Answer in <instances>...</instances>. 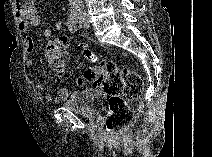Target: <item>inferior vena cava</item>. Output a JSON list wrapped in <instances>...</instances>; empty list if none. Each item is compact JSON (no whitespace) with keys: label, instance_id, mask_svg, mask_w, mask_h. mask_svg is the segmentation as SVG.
Wrapping results in <instances>:
<instances>
[{"label":"inferior vena cava","instance_id":"inferior-vena-cava-1","mask_svg":"<svg viewBox=\"0 0 212 157\" xmlns=\"http://www.w3.org/2000/svg\"><path fill=\"white\" fill-rule=\"evenodd\" d=\"M76 9L81 11L84 9V4L82 0H76Z\"/></svg>","mask_w":212,"mask_h":157}]
</instances>
